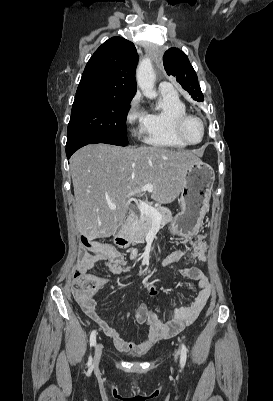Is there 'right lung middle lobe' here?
<instances>
[{
	"label": "right lung middle lobe",
	"instance_id": "1",
	"mask_svg": "<svg viewBox=\"0 0 273 401\" xmlns=\"http://www.w3.org/2000/svg\"><path fill=\"white\" fill-rule=\"evenodd\" d=\"M130 102V99L114 97H75L67 142L92 139L101 143L126 146L128 138L125 123Z\"/></svg>",
	"mask_w": 273,
	"mask_h": 401
}]
</instances>
